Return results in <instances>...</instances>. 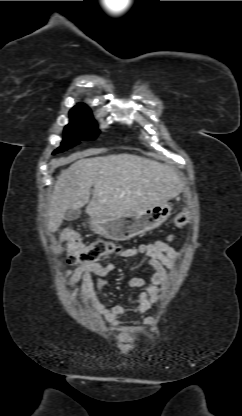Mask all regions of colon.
Instances as JSON below:
<instances>
[{
  "label": "colon",
  "instance_id": "obj_1",
  "mask_svg": "<svg viewBox=\"0 0 242 416\" xmlns=\"http://www.w3.org/2000/svg\"><path fill=\"white\" fill-rule=\"evenodd\" d=\"M190 215L187 211L177 213L173 218L176 227L188 224ZM119 250V246L112 241L98 239L90 244L83 242L81 237L74 231L66 230L61 235L58 251H66L69 261L76 265H90L98 263Z\"/></svg>",
  "mask_w": 242,
  "mask_h": 416
}]
</instances>
